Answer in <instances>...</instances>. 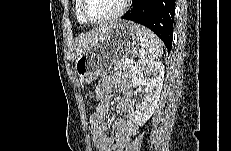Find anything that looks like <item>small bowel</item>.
I'll use <instances>...</instances> for the list:
<instances>
[{
	"label": "small bowel",
	"mask_w": 231,
	"mask_h": 151,
	"mask_svg": "<svg viewBox=\"0 0 231 151\" xmlns=\"http://www.w3.org/2000/svg\"><path fill=\"white\" fill-rule=\"evenodd\" d=\"M116 90L121 94L117 103V112L123 118L114 120L112 127L116 134L111 137L107 130L110 112V93ZM129 82L117 75L104 77L96 90V110L90 118L92 141L96 151H123L137 132L134 110L131 104Z\"/></svg>",
	"instance_id": "1"
}]
</instances>
